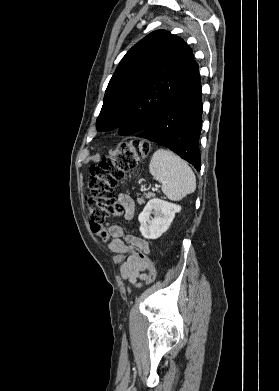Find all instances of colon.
I'll return each instance as SVG.
<instances>
[{
    "mask_svg": "<svg viewBox=\"0 0 279 391\" xmlns=\"http://www.w3.org/2000/svg\"><path fill=\"white\" fill-rule=\"evenodd\" d=\"M149 150L150 146L147 142L131 139L123 143L112 156L103 158L99 164L90 168L89 195L86 197L90 225L92 231L105 241L110 239V235L103 228V224L108 218L123 212L122 206L115 200L114 189L127 171L146 160ZM131 250L141 260L147 262V283L152 284L156 278L153 262L141 250L134 247H131Z\"/></svg>",
    "mask_w": 279,
    "mask_h": 391,
    "instance_id": "1",
    "label": "colon"
}]
</instances>
